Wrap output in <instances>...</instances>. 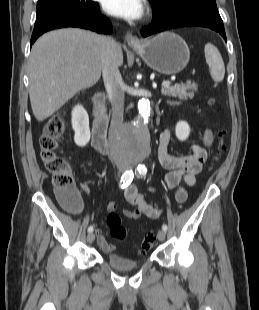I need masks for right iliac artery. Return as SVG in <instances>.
<instances>
[{
    "label": "right iliac artery",
    "mask_w": 259,
    "mask_h": 310,
    "mask_svg": "<svg viewBox=\"0 0 259 310\" xmlns=\"http://www.w3.org/2000/svg\"><path fill=\"white\" fill-rule=\"evenodd\" d=\"M133 177H134V174H133L132 170H130V171L128 170V171L124 172V174L122 175L121 180H120V187L125 188L126 186H128L132 182ZM92 231H93V227L90 226L88 228V232L91 233Z\"/></svg>",
    "instance_id": "82829eb1"
}]
</instances>
